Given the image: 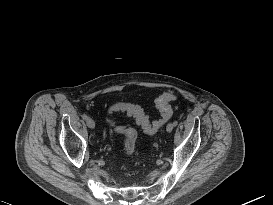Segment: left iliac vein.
<instances>
[{
    "label": "left iliac vein",
    "mask_w": 273,
    "mask_h": 205,
    "mask_svg": "<svg viewBox=\"0 0 273 205\" xmlns=\"http://www.w3.org/2000/svg\"><path fill=\"white\" fill-rule=\"evenodd\" d=\"M173 128H174V124L173 123H169L167 125V127H166V130H167V132H171L173 130Z\"/></svg>",
    "instance_id": "left-iliac-vein-1"
}]
</instances>
